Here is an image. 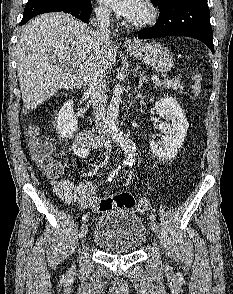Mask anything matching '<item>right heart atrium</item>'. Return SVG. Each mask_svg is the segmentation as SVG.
<instances>
[{
    "mask_svg": "<svg viewBox=\"0 0 233 294\" xmlns=\"http://www.w3.org/2000/svg\"><path fill=\"white\" fill-rule=\"evenodd\" d=\"M96 16L101 20H107L110 17V11L107 7L103 5H98L95 8Z\"/></svg>",
    "mask_w": 233,
    "mask_h": 294,
    "instance_id": "right-heart-atrium-1",
    "label": "right heart atrium"
}]
</instances>
